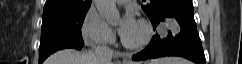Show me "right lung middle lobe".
I'll use <instances>...</instances> for the list:
<instances>
[{
	"mask_svg": "<svg viewBox=\"0 0 242 64\" xmlns=\"http://www.w3.org/2000/svg\"><path fill=\"white\" fill-rule=\"evenodd\" d=\"M87 11L43 14L39 64L57 50L84 46L81 28Z\"/></svg>",
	"mask_w": 242,
	"mask_h": 64,
	"instance_id": "right-lung-middle-lobe-1",
	"label": "right lung middle lobe"
}]
</instances>
